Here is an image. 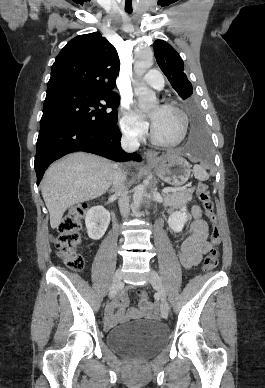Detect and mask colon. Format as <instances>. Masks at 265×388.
I'll list each match as a JSON object with an SVG mask.
<instances>
[{
    "mask_svg": "<svg viewBox=\"0 0 265 388\" xmlns=\"http://www.w3.org/2000/svg\"><path fill=\"white\" fill-rule=\"evenodd\" d=\"M197 195L202 203L206 217L212 225L210 240L214 246L204 257L203 269L213 270L219 259L216 246L220 243V230L217 225V216L214 211L213 201L210 196L209 186L200 183L197 186ZM86 204H77L70 208L58 226L57 253L63 262L72 270L78 271L84 267V258L79 252L82 243L80 234L82 220L87 212ZM137 295L142 301L149 304V294L144 290H139Z\"/></svg>",
    "mask_w": 265,
    "mask_h": 388,
    "instance_id": "obj_1",
    "label": "colon"
}]
</instances>
